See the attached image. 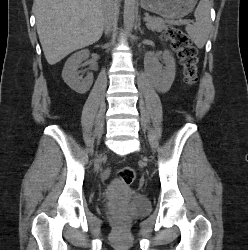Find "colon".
Masks as SVG:
<instances>
[{
    "label": "colon",
    "mask_w": 248,
    "mask_h": 250,
    "mask_svg": "<svg viewBox=\"0 0 248 250\" xmlns=\"http://www.w3.org/2000/svg\"><path fill=\"white\" fill-rule=\"evenodd\" d=\"M164 37L171 42L179 53L185 82L188 85H193L197 80L198 59L197 50L190 38L183 31L173 26L166 28ZM117 177L125 185H131L135 180V171L130 166H124L118 170Z\"/></svg>",
    "instance_id": "5ec220e1"
}]
</instances>
